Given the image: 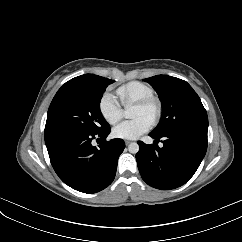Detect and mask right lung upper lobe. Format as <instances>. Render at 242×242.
I'll list each match as a JSON object with an SVG mask.
<instances>
[{
    "instance_id": "cb5924a9",
    "label": "right lung upper lobe",
    "mask_w": 242,
    "mask_h": 242,
    "mask_svg": "<svg viewBox=\"0 0 242 242\" xmlns=\"http://www.w3.org/2000/svg\"><path fill=\"white\" fill-rule=\"evenodd\" d=\"M93 76H94V74H85L82 76L75 77V78H73V80H87V79L93 78Z\"/></svg>"
}]
</instances>
